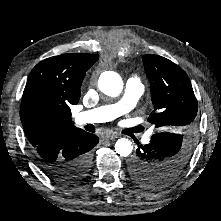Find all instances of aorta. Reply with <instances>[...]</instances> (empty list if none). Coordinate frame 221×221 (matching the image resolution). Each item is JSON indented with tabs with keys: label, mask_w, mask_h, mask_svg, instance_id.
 Segmentation results:
<instances>
[{
	"label": "aorta",
	"mask_w": 221,
	"mask_h": 221,
	"mask_svg": "<svg viewBox=\"0 0 221 221\" xmlns=\"http://www.w3.org/2000/svg\"><path fill=\"white\" fill-rule=\"evenodd\" d=\"M99 89L110 97L118 96L123 89V81L119 74L113 71L103 72L98 80ZM133 150L132 142L127 138L118 139L115 143V151L123 157H127Z\"/></svg>",
	"instance_id": "obj_1"
}]
</instances>
